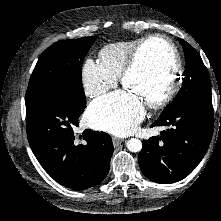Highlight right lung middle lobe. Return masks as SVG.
Masks as SVG:
<instances>
[{"instance_id": "right-lung-middle-lobe-1", "label": "right lung middle lobe", "mask_w": 221, "mask_h": 221, "mask_svg": "<svg viewBox=\"0 0 221 221\" xmlns=\"http://www.w3.org/2000/svg\"><path fill=\"white\" fill-rule=\"evenodd\" d=\"M96 36L62 40L47 48L39 57L31 75L25 102L30 105L56 89L72 93L86 102L81 79L82 62Z\"/></svg>"}]
</instances>
